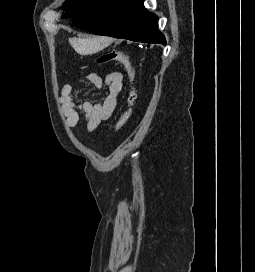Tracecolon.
I'll list each match as a JSON object with an SVG mask.
<instances>
[{"instance_id":"5ec220e1","label":"colon","mask_w":255,"mask_h":272,"mask_svg":"<svg viewBox=\"0 0 255 272\" xmlns=\"http://www.w3.org/2000/svg\"><path fill=\"white\" fill-rule=\"evenodd\" d=\"M109 62H115L122 65L126 69L128 82H129L126 106L115 126V132L117 133L124 127L128 118L130 117L131 110L136 98V93H135V89L133 85L134 71H133V67L129 57L122 51L111 50L98 58L99 64H104Z\"/></svg>"}]
</instances>
